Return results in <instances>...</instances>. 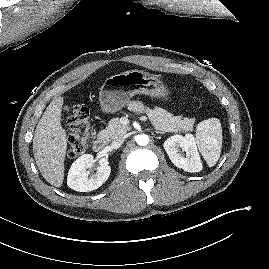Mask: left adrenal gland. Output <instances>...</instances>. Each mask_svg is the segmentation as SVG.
<instances>
[{
  "instance_id": "a2214340",
  "label": "left adrenal gland",
  "mask_w": 269,
  "mask_h": 269,
  "mask_svg": "<svg viewBox=\"0 0 269 269\" xmlns=\"http://www.w3.org/2000/svg\"><path fill=\"white\" fill-rule=\"evenodd\" d=\"M155 133H157V134H163V132H160V131H155Z\"/></svg>"
}]
</instances>
